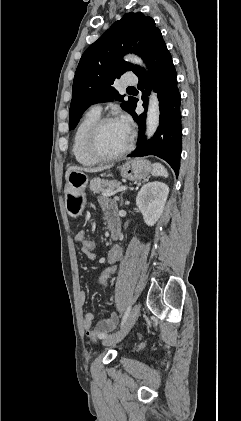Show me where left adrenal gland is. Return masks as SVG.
<instances>
[{
    "mask_svg": "<svg viewBox=\"0 0 241 421\" xmlns=\"http://www.w3.org/2000/svg\"><path fill=\"white\" fill-rule=\"evenodd\" d=\"M123 204V193L120 195V206Z\"/></svg>",
    "mask_w": 241,
    "mask_h": 421,
    "instance_id": "left-adrenal-gland-1",
    "label": "left adrenal gland"
}]
</instances>
